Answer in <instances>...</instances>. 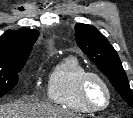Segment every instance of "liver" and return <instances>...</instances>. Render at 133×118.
<instances>
[{"label":"liver","mask_w":133,"mask_h":118,"mask_svg":"<svg viewBox=\"0 0 133 118\" xmlns=\"http://www.w3.org/2000/svg\"><path fill=\"white\" fill-rule=\"evenodd\" d=\"M0 118H82V116L49 104L14 102L0 105Z\"/></svg>","instance_id":"liver-1"}]
</instances>
